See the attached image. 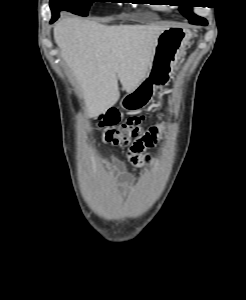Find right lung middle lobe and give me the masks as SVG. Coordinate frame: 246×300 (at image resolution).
Masks as SVG:
<instances>
[{"mask_svg":"<svg viewBox=\"0 0 246 300\" xmlns=\"http://www.w3.org/2000/svg\"><path fill=\"white\" fill-rule=\"evenodd\" d=\"M95 1L103 2L107 0H50V8L53 17L58 16L60 11L87 16L89 7Z\"/></svg>","mask_w":246,"mask_h":300,"instance_id":"obj_1","label":"right lung middle lobe"}]
</instances>
